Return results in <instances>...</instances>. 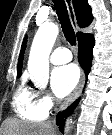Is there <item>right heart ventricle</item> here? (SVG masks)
<instances>
[{"mask_svg":"<svg viewBox=\"0 0 112 135\" xmlns=\"http://www.w3.org/2000/svg\"><path fill=\"white\" fill-rule=\"evenodd\" d=\"M13 108L16 114L27 121L38 122L47 117V111L38 103L37 93L22 83L13 97Z\"/></svg>","mask_w":112,"mask_h":135,"instance_id":"e07e8e85","label":"right heart ventricle"}]
</instances>
